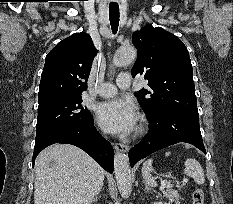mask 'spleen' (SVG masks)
Masks as SVG:
<instances>
[{
	"label": "spleen",
	"mask_w": 233,
	"mask_h": 204,
	"mask_svg": "<svg viewBox=\"0 0 233 204\" xmlns=\"http://www.w3.org/2000/svg\"><path fill=\"white\" fill-rule=\"evenodd\" d=\"M170 154H171L170 152H166L165 156H169ZM152 163H153L152 159H148L143 163L142 175L144 181L148 185H150L151 187H156L157 182L155 181V178L152 177V175L150 174L152 170ZM184 165H185V174L192 177L197 184L202 185L205 182L204 171L200 163L196 159L188 158L186 159Z\"/></svg>",
	"instance_id": "1"
}]
</instances>
